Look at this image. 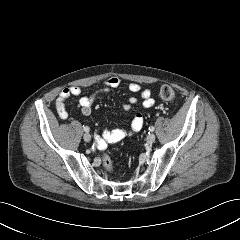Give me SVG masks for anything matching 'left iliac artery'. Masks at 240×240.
<instances>
[{
    "mask_svg": "<svg viewBox=\"0 0 240 240\" xmlns=\"http://www.w3.org/2000/svg\"><path fill=\"white\" fill-rule=\"evenodd\" d=\"M155 130V128L153 126L149 127V131L153 132Z\"/></svg>",
    "mask_w": 240,
    "mask_h": 240,
    "instance_id": "left-iliac-artery-1",
    "label": "left iliac artery"
}]
</instances>
